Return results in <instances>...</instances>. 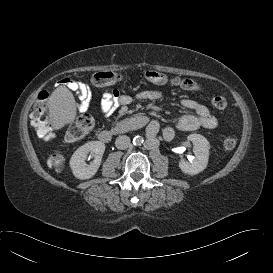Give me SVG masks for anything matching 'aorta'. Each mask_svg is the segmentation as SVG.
<instances>
[{"instance_id":"1","label":"aorta","mask_w":273,"mask_h":273,"mask_svg":"<svg viewBox=\"0 0 273 273\" xmlns=\"http://www.w3.org/2000/svg\"><path fill=\"white\" fill-rule=\"evenodd\" d=\"M143 138L141 136H136L133 139V144L134 145H141L143 143Z\"/></svg>"}]
</instances>
